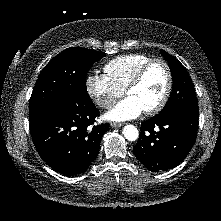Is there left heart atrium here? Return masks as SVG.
Here are the masks:
<instances>
[{
    "label": "left heart atrium",
    "instance_id": "39dd6f15",
    "mask_svg": "<svg viewBox=\"0 0 221 221\" xmlns=\"http://www.w3.org/2000/svg\"><path fill=\"white\" fill-rule=\"evenodd\" d=\"M143 112L139 104L131 97L117 103L105 117L113 121H124L138 117Z\"/></svg>",
    "mask_w": 221,
    "mask_h": 221
}]
</instances>
